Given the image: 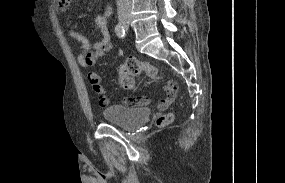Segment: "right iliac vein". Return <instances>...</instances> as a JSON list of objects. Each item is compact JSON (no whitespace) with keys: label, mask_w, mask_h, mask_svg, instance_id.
Returning <instances> with one entry per match:
<instances>
[{"label":"right iliac vein","mask_w":285,"mask_h":183,"mask_svg":"<svg viewBox=\"0 0 285 183\" xmlns=\"http://www.w3.org/2000/svg\"><path fill=\"white\" fill-rule=\"evenodd\" d=\"M120 23L123 25V26H128L129 25V23H130V19L129 18H127V17H124V18H121L120 19Z\"/></svg>","instance_id":"obj_1"}]
</instances>
